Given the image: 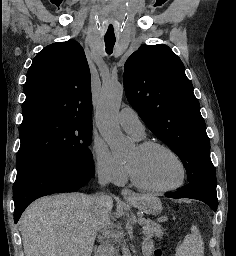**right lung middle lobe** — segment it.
I'll return each instance as SVG.
<instances>
[{"instance_id":"obj_1","label":"right lung middle lobe","mask_w":236,"mask_h":256,"mask_svg":"<svg viewBox=\"0 0 236 256\" xmlns=\"http://www.w3.org/2000/svg\"><path fill=\"white\" fill-rule=\"evenodd\" d=\"M92 122L51 115L25 119L20 127L21 145L17 174L30 166L50 161L75 160L93 163L89 150Z\"/></svg>"}]
</instances>
